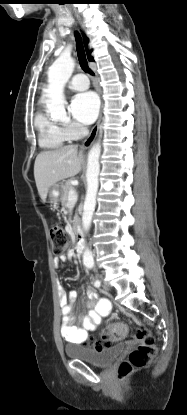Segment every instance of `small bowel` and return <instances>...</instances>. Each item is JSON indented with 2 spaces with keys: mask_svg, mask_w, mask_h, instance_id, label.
Segmentation results:
<instances>
[{
  "mask_svg": "<svg viewBox=\"0 0 187 415\" xmlns=\"http://www.w3.org/2000/svg\"><path fill=\"white\" fill-rule=\"evenodd\" d=\"M71 255H60L54 259L56 266H61ZM59 304L62 312L61 336L70 344H83L86 342L91 331L96 329L102 319L109 315L111 302L106 298H100L98 294L90 289L87 291V312L83 317L81 325L73 322V304L76 299V292H66L63 288L58 291Z\"/></svg>",
  "mask_w": 187,
  "mask_h": 415,
  "instance_id": "small-bowel-1",
  "label": "small bowel"
}]
</instances>
